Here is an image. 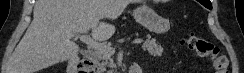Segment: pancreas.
Returning a JSON list of instances; mask_svg holds the SVG:
<instances>
[{"label":"pancreas","instance_id":"1","mask_svg":"<svg viewBox=\"0 0 244 73\" xmlns=\"http://www.w3.org/2000/svg\"><path fill=\"white\" fill-rule=\"evenodd\" d=\"M143 49L148 51V53L152 56H161L163 53V48L155 39H147L145 44L143 45ZM94 59L98 66L104 71L105 67L115 68L116 64L112 58V54L110 53H99L96 52L94 55ZM112 73V71L110 72Z\"/></svg>","mask_w":244,"mask_h":73}]
</instances>
